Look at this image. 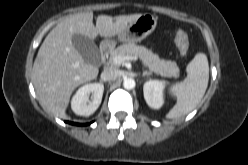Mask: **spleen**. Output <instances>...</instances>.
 Wrapping results in <instances>:
<instances>
[{"instance_id":"3e777b00","label":"spleen","mask_w":248,"mask_h":165,"mask_svg":"<svg viewBox=\"0 0 248 165\" xmlns=\"http://www.w3.org/2000/svg\"><path fill=\"white\" fill-rule=\"evenodd\" d=\"M187 77L170 87L169 92L177 102L166 118L176 119L191 112L203 98L209 80V65L204 53H197L187 65Z\"/></svg>"}]
</instances>
